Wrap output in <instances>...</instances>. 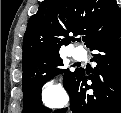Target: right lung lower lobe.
I'll list each match as a JSON object with an SVG mask.
<instances>
[{"mask_svg":"<svg viewBox=\"0 0 121 113\" xmlns=\"http://www.w3.org/2000/svg\"><path fill=\"white\" fill-rule=\"evenodd\" d=\"M97 50L95 74L87 76L76 69L65 87L71 98L73 113H121V29L90 47ZM87 79L92 85L87 84ZM93 89V95L88 90ZM67 108L55 113H64Z\"/></svg>","mask_w":121,"mask_h":113,"instance_id":"obj_1","label":"right lung lower lobe"}]
</instances>
